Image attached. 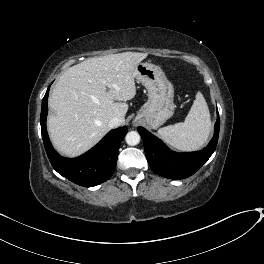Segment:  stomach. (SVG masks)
I'll return each instance as SVG.
<instances>
[{"mask_svg":"<svg viewBox=\"0 0 264 264\" xmlns=\"http://www.w3.org/2000/svg\"><path fill=\"white\" fill-rule=\"evenodd\" d=\"M134 74L148 91V100L137 112L135 122L157 129L174 114L173 85L163 70L152 63H138Z\"/></svg>","mask_w":264,"mask_h":264,"instance_id":"stomach-1","label":"stomach"}]
</instances>
